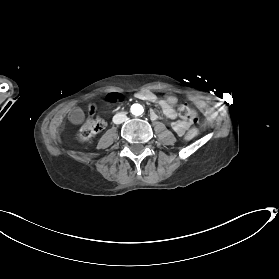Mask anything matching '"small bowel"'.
Listing matches in <instances>:
<instances>
[{
  "mask_svg": "<svg viewBox=\"0 0 279 279\" xmlns=\"http://www.w3.org/2000/svg\"><path fill=\"white\" fill-rule=\"evenodd\" d=\"M137 96L141 99L150 101L160 106L163 116L171 122V127L174 132L183 136L189 128V123L183 120L176 119L175 105L177 98L174 95H167L165 98H160L150 91L139 92ZM152 119H158V114L155 111L150 113Z\"/></svg>",
  "mask_w": 279,
  "mask_h": 279,
  "instance_id": "obj_1",
  "label": "small bowel"
}]
</instances>
